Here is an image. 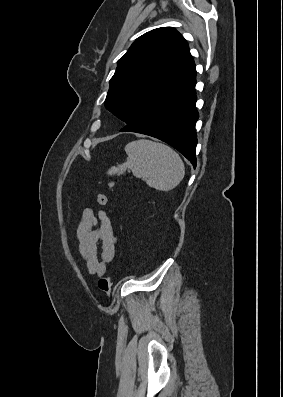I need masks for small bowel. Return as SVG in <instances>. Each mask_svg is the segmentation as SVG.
<instances>
[{"label": "small bowel", "mask_w": 283, "mask_h": 397, "mask_svg": "<svg viewBox=\"0 0 283 397\" xmlns=\"http://www.w3.org/2000/svg\"><path fill=\"white\" fill-rule=\"evenodd\" d=\"M79 252L90 274L103 276L116 253L117 236L109 216L85 208L77 226ZM100 251V254H99Z\"/></svg>", "instance_id": "1"}]
</instances>
